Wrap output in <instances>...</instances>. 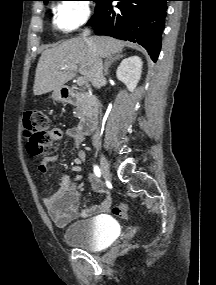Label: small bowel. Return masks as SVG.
<instances>
[{
  "label": "small bowel",
  "instance_id": "c3829d8e",
  "mask_svg": "<svg viewBox=\"0 0 216 285\" xmlns=\"http://www.w3.org/2000/svg\"><path fill=\"white\" fill-rule=\"evenodd\" d=\"M66 134L70 137L77 148L76 158L74 160L75 166L73 170L79 172L80 165L86 159V153L80 148L85 140V135L80 129L72 127L66 130L64 133L60 128H53L48 134L47 144H52L61 140ZM55 157H48L42 161L39 165V170L42 173L47 172L49 164H55ZM83 181V177L80 174H76L72 177L67 175H61L59 178V188L52 195L43 198V204L45 205L48 215L51 220L59 227H65L77 217H90L100 212H106L111 206V198L105 196L103 201L92 207L80 210V200L78 186ZM90 181L95 189H98V184L91 177Z\"/></svg>",
  "mask_w": 216,
  "mask_h": 285
}]
</instances>
